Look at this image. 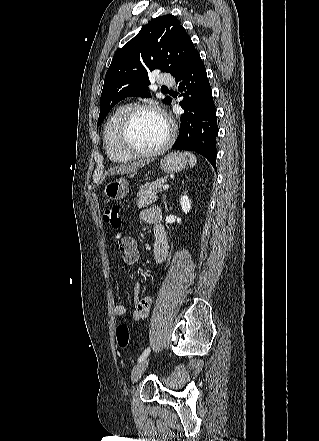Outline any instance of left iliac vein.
<instances>
[{
  "mask_svg": "<svg viewBox=\"0 0 319 441\" xmlns=\"http://www.w3.org/2000/svg\"><path fill=\"white\" fill-rule=\"evenodd\" d=\"M148 364H149V359H144L143 361L136 364V366H134L131 372V379L133 382H137L140 379L141 375L146 370Z\"/></svg>",
  "mask_w": 319,
  "mask_h": 441,
  "instance_id": "obj_1",
  "label": "left iliac vein"
}]
</instances>
